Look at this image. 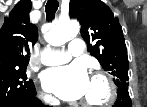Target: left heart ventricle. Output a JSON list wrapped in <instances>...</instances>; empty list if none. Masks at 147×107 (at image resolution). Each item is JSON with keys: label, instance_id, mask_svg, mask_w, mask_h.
I'll list each match as a JSON object with an SVG mask.
<instances>
[{"label": "left heart ventricle", "instance_id": "obj_1", "mask_svg": "<svg viewBox=\"0 0 147 107\" xmlns=\"http://www.w3.org/2000/svg\"><path fill=\"white\" fill-rule=\"evenodd\" d=\"M105 95V87L98 80H90L88 90L83 97V100L97 101L101 100Z\"/></svg>", "mask_w": 147, "mask_h": 107}]
</instances>
